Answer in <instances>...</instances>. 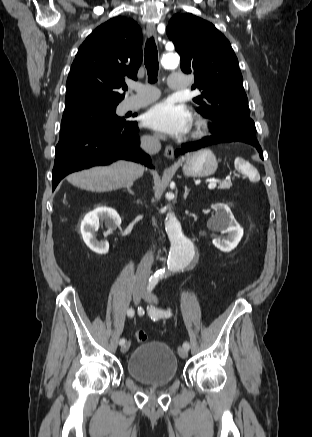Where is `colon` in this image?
<instances>
[{"instance_id":"5ec220e1","label":"colon","mask_w":312,"mask_h":437,"mask_svg":"<svg viewBox=\"0 0 312 437\" xmlns=\"http://www.w3.org/2000/svg\"><path fill=\"white\" fill-rule=\"evenodd\" d=\"M135 337H136L137 341H139L141 343L147 342V340H148V335L143 330H137L135 333Z\"/></svg>"}]
</instances>
